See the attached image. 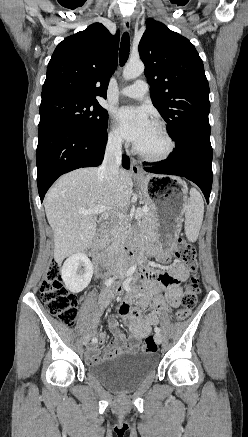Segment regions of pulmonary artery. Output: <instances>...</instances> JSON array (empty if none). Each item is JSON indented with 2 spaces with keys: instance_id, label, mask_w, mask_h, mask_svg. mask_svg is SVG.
I'll return each mask as SVG.
<instances>
[{
  "instance_id": "e3ab8cb5",
  "label": "pulmonary artery",
  "mask_w": 248,
  "mask_h": 437,
  "mask_svg": "<svg viewBox=\"0 0 248 437\" xmlns=\"http://www.w3.org/2000/svg\"><path fill=\"white\" fill-rule=\"evenodd\" d=\"M147 93L148 84L144 80H137L134 84L120 90V95L134 99H142Z\"/></svg>"
}]
</instances>
